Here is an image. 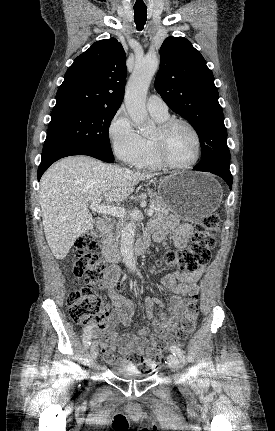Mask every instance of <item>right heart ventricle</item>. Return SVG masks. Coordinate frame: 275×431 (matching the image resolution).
<instances>
[{
	"label": "right heart ventricle",
	"mask_w": 275,
	"mask_h": 431,
	"mask_svg": "<svg viewBox=\"0 0 275 431\" xmlns=\"http://www.w3.org/2000/svg\"><path fill=\"white\" fill-rule=\"evenodd\" d=\"M151 115L158 124H161L162 122L169 119L168 114L166 115L151 114ZM143 141H144V151L142 155L138 158V160L134 163V166H136L137 168L146 169V170H159L163 168V166L160 164V162L157 160L155 156L152 138L143 137Z\"/></svg>",
	"instance_id": "right-heart-ventricle-1"
}]
</instances>
